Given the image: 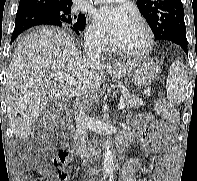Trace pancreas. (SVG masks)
<instances>
[{
  "instance_id": "1",
  "label": "pancreas",
  "mask_w": 197,
  "mask_h": 181,
  "mask_svg": "<svg viewBox=\"0 0 197 181\" xmlns=\"http://www.w3.org/2000/svg\"><path fill=\"white\" fill-rule=\"evenodd\" d=\"M120 102H123L127 108L143 106L145 104V102L142 99L129 93H123L122 96L120 97Z\"/></svg>"
}]
</instances>
